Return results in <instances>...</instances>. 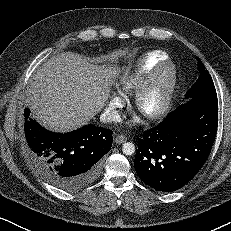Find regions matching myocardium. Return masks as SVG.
<instances>
[{"instance_id": "1", "label": "myocardium", "mask_w": 231, "mask_h": 231, "mask_svg": "<svg viewBox=\"0 0 231 231\" xmlns=\"http://www.w3.org/2000/svg\"><path fill=\"white\" fill-rule=\"evenodd\" d=\"M177 66L171 59L161 61L136 92L138 110L148 119L156 120L167 114L174 98L177 85ZM161 91L159 101L153 110L146 109L147 101L154 93Z\"/></svg>"}]
</instances>
